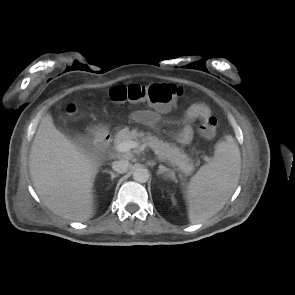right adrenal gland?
Listing matches in <instances>:
<instances>
[{"mask_svg":"<svg viewBox=\"0 0 295 295\" xmlns=\"http://www.w3.org/2000/svg\"><path fill=\"white\" fill-rule=\"evenodd\" d=\"M104 172L108 173L111 175V180H113L115 177H117L119 174H115L111 170H105Z\"/></svg>","mask_w":295,"mask_h":295,"instance_id":"1","label":"right adrenal gland"}]
</instances>
